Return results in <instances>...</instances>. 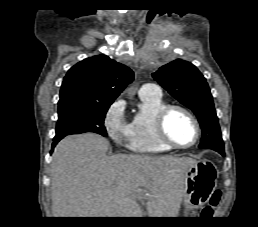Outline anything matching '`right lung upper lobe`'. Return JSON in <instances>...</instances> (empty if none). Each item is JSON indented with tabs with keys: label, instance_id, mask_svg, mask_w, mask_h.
<instances>
[{
	"label": "right lung upper lobe",
	"instance_id": "obj_1",
	"mask_svg": "<svg viewBox=\"0 0 258 227\" xmlns=\"http://www.w3.org/2000/svg\"><path fill=\"white\" fill-rule=\"evenodd\" d=\"M133 81V72L105 55L87 58L69 69L60 91V99L79 98L112 104Z\"/></svg>",
	"mask_w": 258,
	"mask_h": 227
}]
</instances>
